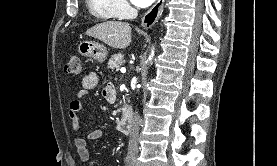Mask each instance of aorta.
<instances>
[{
  "label": "aorta",
  "instance_id": "762f6f07",
  "mask_svg": "<svg viewBox=\"0 0 277 166\" xmlns=\"http://www.w3.org/2000/svg\"><path fill=\"white\" fill-rule=\"evenodd\" d=\"M154 55V51H152L151 55L149 56V59L151 60V58L153 57Z\"/></svg>",
  "mask_w": 277,
  "mask_h": 166
}]
</instances>
